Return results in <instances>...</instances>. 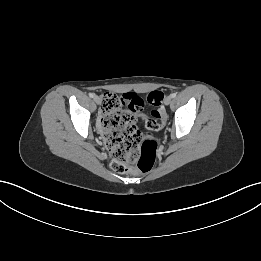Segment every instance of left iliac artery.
I'll list each match as a JSON object with an SVG mask.
<instances>
[{
	"mask_svg": "<svg viewBox=\"0 0 261 261\" xmlns=\"http://www.w3.org/2000/svg\"><path fill=\"white\" fill-rule=\"evenodd\" d=\"M171 97H172V98H175V97H176V93H172V94H171Z\"/></svg>",
	"mask_w": 261,
	"mask_h": 261,
	"instance_id": "44dca946",
	"label": "left iliac artery"
}]
</instances>
